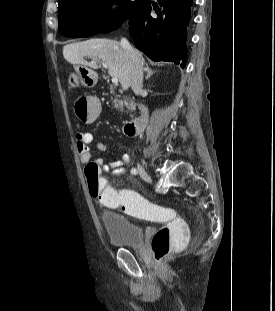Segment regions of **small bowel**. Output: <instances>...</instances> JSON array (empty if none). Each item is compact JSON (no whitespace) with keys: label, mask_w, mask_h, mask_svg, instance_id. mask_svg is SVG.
<instances>
[{"label":"small bowel","mask_w":275,"mask_h":311,"mask_svg":"<svg viewBox=\"0 0 275 311\" xmlns=\"http://www.w3.org/2000/svg\"><path fill=\"white\" fill-rule=\"evenodd\" d=\"M93 140L94 137L90 132L79 131L76 134L75 146L81 163L85 167L90 163H95L98 168L104 172H111L115 175L124 174V165L130 162V156L128 154H124L119 159L114 161H107L104 158L92 160V151L90 145ZM96 149L99 152H107L108 146L104 141H98L96 142ZM120 150H123V146H120Z\"/></svg>","instance_id":"small-bowel-1"}]
</instances>
